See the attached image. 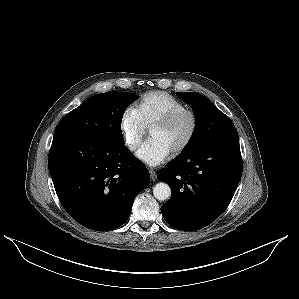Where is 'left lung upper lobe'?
Returning a JSON list of instances; mask_svg holds the SVG:
<instances>
[{
    "mask_svg": "<svg viewBox=\"0 0 299 299\" xmlns=\"http://www.w3.org/2000/svg\"><path fill=\"white\" fill-rule=\"evenodd\" d=\"M177 95L192 106L196 118L194 133L179 156L198 152L217 138L236 130L231 119L206 97L195 92H177Z\"/></svg>",
    "mask_w": 299,
    "mask_h": 299,
    "instance_id": "left-lung-upper-lobe-1",
    "label": "left lung upper lobe"
}]
</instances>
